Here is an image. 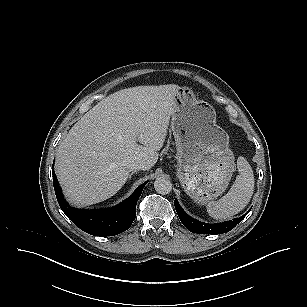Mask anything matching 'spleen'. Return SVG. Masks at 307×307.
<instances>
[{
  "mask_svg": "<svg viewBox=\"0 0 307 307\" xmlns=\"http://www.w3.org/2000/svg\"><path fill=\"white\" fill-rule=\"evenodd\" d=\"M237 175L228 193L218 201L209 202L207 212L214 219H229L249 203L254 191V175L249 162L242 156L237 160Z\"/></svg>",
  "mask_w": 307,
  "mask_h": 307,
  "instance_id": "1",
  "label": "spleen"
}]
</instances>
